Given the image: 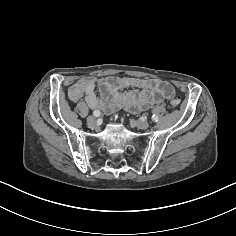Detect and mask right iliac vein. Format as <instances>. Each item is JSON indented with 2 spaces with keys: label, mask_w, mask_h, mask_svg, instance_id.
<instances>
[{
  "label": "right iliac vein",
  "mask_w": 236,
  "mask_h": 236,
  "mask_svg": "<svg viewBox=\"0 0 236 236\" xmlns=\"http://www.w3.org/2000/svg\"><path fill=\"white\" fill-rule=\"evenodd\" d=\"M86 121H87V124L90 126H93L96 123V119L93 116H88Z\"/></svg>",
  "instance_id": "obj_1"
}]
</instances>
